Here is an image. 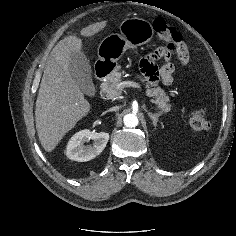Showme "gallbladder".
Segmentation results:
<instances>
[{
  "label": "gallbladder",
  "instance_id": "bac80fb5",
  "mask_svg": "<svg viewBox=\"0 0 236 236\" xmlns=\"http://www.w3.org/2000/svg\"><path fill=\"white\" fill-rule=\"evenodd\" d=\"M68 69L71 77L86 95L92 96L95 87L92 82V69L90 62L83 52H74L71 55Z\"/></svg>",
  "mask_w": 236,
  "mask_h": 236
}]
</instances>
